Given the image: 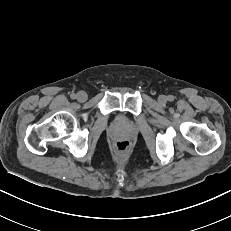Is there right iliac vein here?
Masks as SVG:
<instances>
[{
	"mask_svg": "<svg viewBox=\"0 0 231 231\" xmlns=\"http://www.w3.org/2000/svg\"><path fill=\"white\" fill-rule=\"evenodd\" d=\"M76 98L79 102H84L87 100V94L84 91H79L76 95Z\"/></svg>",
	"mask_w": 231,
	"mask_h": 231,
	"instance_id": "obj_1",
	"label": "right iliac vein"
}]
</instances>
